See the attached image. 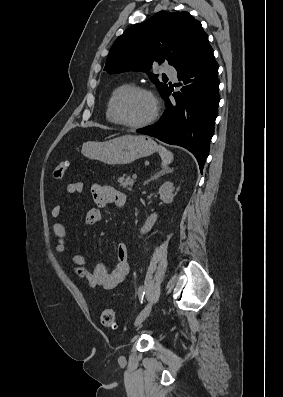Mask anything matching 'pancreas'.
Masks as SVG:
<instances>
[{
  "instance_id": "cf45deb5",
  "label": "pancreas",
  "mask_w": 283,
  "mask_h": 397,
  "mask_svg": "<svg viewBox=\"0 0 283 397\" xmlns=\"http://www.w3.org/2000/svg\"><path fill=\"white\" fill-rule=\"evenodd\" d=\"M117 182L120 184L121 187L129 191L132 190V187L135 184V180L133 178H131L130 176L125 177V175L119 177Z\"/></svg>"
}]
</instances>
